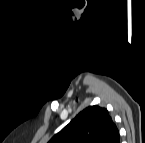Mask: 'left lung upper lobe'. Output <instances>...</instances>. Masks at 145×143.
Wrapping results in <instances>:
<instances>
[{
    "mask_svg": "<svg viewBox=\"0 0 145 143\" xmlns=\"http://www.w3.org/2000/svg\"><path fill=\"white\" fill-rule=\"evenodd\" d=\"M119 131L106 109L89 106L49 143H119Z\"/></svg>",
    "mask_w": 145,
    "mask_h": 143,
    "instance_id": "left-lung-upper-lobe-1",
    "label": "left lung upper lobe"
}]
</instances>
